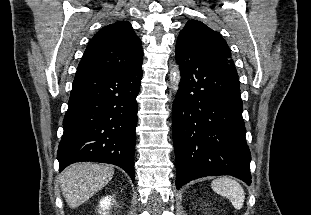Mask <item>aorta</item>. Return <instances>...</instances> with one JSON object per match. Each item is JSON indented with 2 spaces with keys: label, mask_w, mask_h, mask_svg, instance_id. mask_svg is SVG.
<instances>
[{
  "label": "aorta",
  "mask_w": 311,
  "mask_h": 215,
  "mask_svg": "<svg viewBox=\"0 0 311 215\" xmlns=\"http://www.w3.org/2000/svg\"><path fill=\"white\" fill-rule=\"evenodd\" d=\"M181 81L180 70L175 67L170 73L171 88L176 92L179 88V83Z\"/></svg>",
  "instance_id": "1"
}]
</instances>
